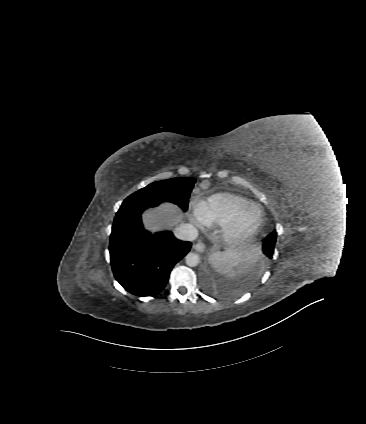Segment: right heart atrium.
I'll use <instances>...</instances> for the list:
<instances>
[{"mask_svg":"<svg viewBox=\"0 0 366 424\" xmlns=\"http://www.w3.org/2000/svg\"><path fill=\"white\" fill-rule=\"evenodd\" d=\"M198 210V206L196 207V211Z\"/></svg>","mask_w":366,"mask_h":424,"instance_id":"right-heart-atrium-1","label":"right heart atrium"}]
</instances>
